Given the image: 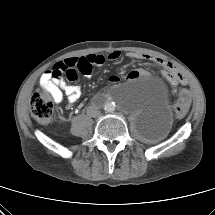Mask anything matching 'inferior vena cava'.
Wrapping results in <instances>:
<instances>
[{"label":"inferior vena cava","mask_w":215,"mask_h":215,"mask_svg":"<svg viewBox=\"0 0 215 215\" xmlns=\"http://www.w3.org/2000/svg\"><path fill=\"white\" fill-rule=\"evenodd\" d=\"M87 114L90 116V117H98L100 116L101 112L99 111V109L95 106H89L87 108Z\"/></svg>","instance_id":"1"}]
</instances>
